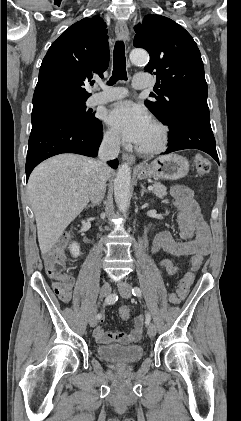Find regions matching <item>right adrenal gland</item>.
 I'll list each match as a JSON object with an SVG mask.
<instances>
[{
    "label": "right adrenal gland",
    "mask_w": 241,
    "mask_h": 421,
    "mask_svg": "<svg viewBox=\"0 0 241 421\" xmlns=\"http://www.w3.org/2000/svg\"><path fill=\"white\" fill-rule=\"evenodd\" d=\"M94 206H95L94 204H89V205L87 206V209H88V208H90V207H91V208H93Z\"/></svg>",
    "instance_id": "obj_1"
}]
</instances>
